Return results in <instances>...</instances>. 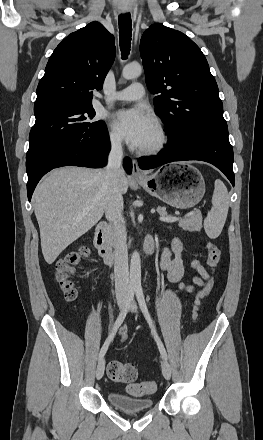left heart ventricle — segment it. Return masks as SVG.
<instances>
[{"mask_svg": "<svg viewBox=\"0 0 263 440\" xmlns=\"http://www.w3.org/2000/svg\"><path fill=\"white\" fill-rule=\"evenodd\" d=\"M155 140H156V133H155V130H154L153 126L151 125V127L146 132L143 140L141 141V143H140V145L138 147L149 146L152 143H154Z\"/></svg>", "mask_w": 263, "mask_h": 440, "instance_id": "obj_1", "label": "left heart ventricle"}]
</instances>
